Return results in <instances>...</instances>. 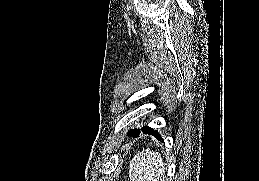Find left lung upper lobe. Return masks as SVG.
<instances>
[{"mask_svg":"<svg viewBox=\"0 0 259 181\" xmlns=\"http://www.w3.org/2000/svg\"><path fill=\"white\" fill-rule=\"evenodd\" d=\"M148 127L147 126H145V127H143L141 130L142 131H144V130H146ZM137 133H140V130L139 129H134V130H131L130 132H129V135H136Z\"/></svg>","mask_w":259,"mask_h":181,"instance_id":"obj_1","label":"left lung upper lobe"}]
</instances>
